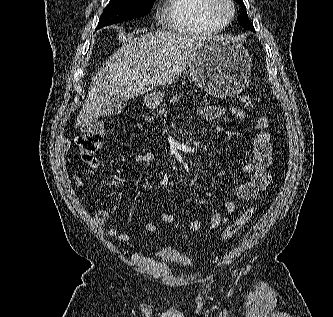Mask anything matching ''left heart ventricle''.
<instances>
[{"mask_svg": "<svg viewBox=\"0 0 333 317\" xmlns=\"http://www.w3.org/2000/svg\"><path fill=\"white\" fill-rule=\"evenodd\" d=\"M220 11H221V13H222L224 16H226V15H228V13H229V8H228L227 5L222 4V5H221V8H220Z\"/></svg>", "mask_w": 333, "mask_h": 317, "instance_id": "1", "label": "left heart ventricle"}]
</instances>
